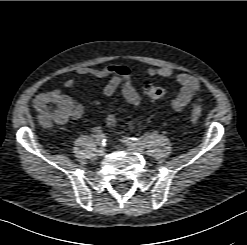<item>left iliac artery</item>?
I'll list each match as a JSON object with an SVG mask.
<instances>
[{"mask_svg": "<svg viewBox=\"0 0 247 245\" xmlns=\"http://www.w3.org/2000/svg\"><path fill=\"white\" fill-rule=\"evenodd\" d=\"M158 135H159V132L154 131L152 133L146 134L144 137H141V138H126V141L128 143H132V144H136V145H145V144L151 142L152 140H154L155 138H157Z\"/></svg>", "mask_w": 247, "mask_h": 245, "instance_id": "1", "label": "left iliac artery"}]
</instances>
